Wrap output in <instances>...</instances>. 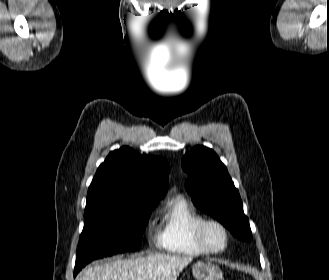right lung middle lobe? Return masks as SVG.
<instances>
[{
	"mask_svg": "<svg viewBox=\"0 0 329 280\" xmlns=\"http://www.w3.org/2000/svg\"><path fill=\"white\" fill-rule=\"evenodd\" d=\"M159 201L117 199L85 213L74 276L94 259L138 250L151 211Z\"/></svg>",
	"mask_w": 329,
	"mask_h": 280,
	"instance_id": "obj_1",
	"label": "right lung middle lobe"
}]
</instances>
